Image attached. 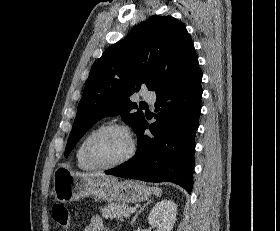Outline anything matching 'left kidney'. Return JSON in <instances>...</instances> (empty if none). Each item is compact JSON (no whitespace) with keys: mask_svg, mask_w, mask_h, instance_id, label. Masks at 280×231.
I'll return each instance as SVG.
<instances>
[{"mask_svg":"<svg viewBox=\"0 0 280 231\" xmlns=\"http://www.w3.org/2000/svg\"><path fill=\"white\" fill-rule=\"evenodd\" d=\"M177 205L172 199H162L152 207L148 221L157 231H171L176 221Z\"/></svg>","mask_w":280,"mask_h":231,"instance_id":"left-kidney-1","label":"left kidney"}]
</instances>
